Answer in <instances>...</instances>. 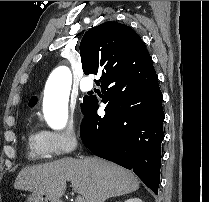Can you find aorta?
<instances>
[{
  "mask_svg": "<svg viewBox=\"0 0 209 202\" xmlns=\"http://www.w3.org/2000/svg\"><path fill=\"white\" fill-rule=\"evenodd\" d=\"M71 73L60 66L50 74L44 89L43 113L47 124L55 130L63 129L68 120V98Z\"/></svg>",
  "mask_w": 209,
  "mask_h": 202,
  "instance_id": "obj_1",
  "label": "aorta"
}]
</instances>
